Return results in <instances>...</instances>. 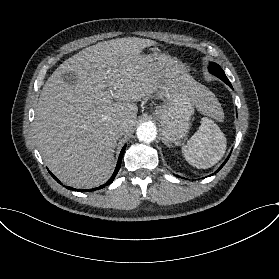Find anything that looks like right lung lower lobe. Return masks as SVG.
<instances>
[{
	"mask_svg": "<svg viewBox=\"0 0 279 279\" xmlns=\"http://www.w3.org/2000/svg\"><path fill=\"white\" fill-rule=\"evenodd\" d=\"M125 148H126V145L122 148L121 152H120V155H119V159H118V162H117V165H116V168H115V171L112 175V177L104 184V185H101L99 187H96V188H92L91 190H85L86 192H90V191H95V190H98V189H102L104 187H106L107 185L111 184L112 181L114 180L116 174L118 173L119 169H120V166H121V161H122V156L124 154V151H125ZM49 173L52 175V177L58 182L61 184V182L49 171ZM67 189H70V190H74V191H81L80 189H74V188H71V187H66Z\"/></svg>",
	"mask_w": 279,
	"mask_h": 279,
	"instance_id": "obj_1",
	"label": "right lung lower lobe"
}]
</instances>
